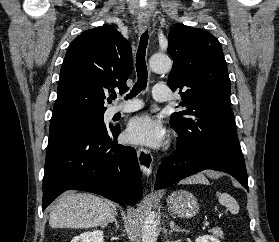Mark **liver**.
<instances>
[{
    "label": "liver",
    "mask_w": 279,
    "mask_h": 242,
    "mask_svg": "<svg viewBox=\"0 0 279 242\" xmlns=\"http://www.w3.org/2000/svg\"><path fill=\"white\" fill-rule=\"evenodd\" d=\"M184 183L208 181L203 175L188 178ZM116 213V205L89 193L65 192L52 206L49 225L52 228H90L104 225Z\"/></svg>",
    "instance_id": "6515ba94"
}]
</instances>
